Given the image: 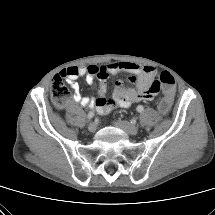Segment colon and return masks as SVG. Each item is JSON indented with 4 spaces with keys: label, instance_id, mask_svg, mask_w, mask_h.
I'll return each mask as SVG.
<instances>
[{
    "label": "colon",
    "instance_id": "1",
    "mask_svg": "<svg viewBox=\"0 0 215 215\" xmlns=\"http://www.w3.org/2000/svg\"><path fill=\"white\" fill-rule=\"evenodd\" d=\"M174 83L173 76L169 72L165 71L159 75L158 81L153 82L149 90L151 93H157L161 87L163 88L165 96L158 105V109L162 114H167L172 107ZM69 94L70 92L62 80V76H55L51 84V98L54 105L58 108H62L66 104Z\"/></svg>",
    "mask_w": 215,
    "mask_h": 215
}]
</instances>
